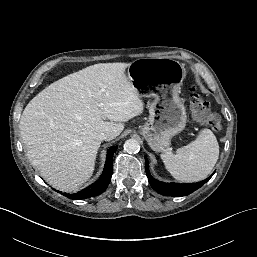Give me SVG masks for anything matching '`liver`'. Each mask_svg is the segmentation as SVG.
Wrapping results in <instances>:
<instances>
[{
    "label": "liver",
    "instance_id": "liver-1",
    "mask_svg": "<svg viewBox=\"0 0 257 257\" xmlns=\"http://www.w3.org/2000/svg\"><path fill=\"white\" fill-rule=\"evenodd\" d=\"M127 63H100L53 82L26 106L20 134L31 164L52 187L75 192L93 174L99 134L116 137L144 103ZM105 119L110 121H104Z\"/></svg>",
    "mask_w": 257,
    "mask_h": 257
}]
</instances>
